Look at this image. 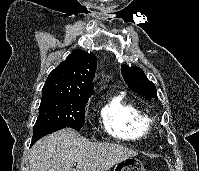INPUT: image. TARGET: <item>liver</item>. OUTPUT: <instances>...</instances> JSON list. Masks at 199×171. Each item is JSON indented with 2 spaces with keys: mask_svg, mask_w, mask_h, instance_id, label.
<instances>
[{
  "mask_svg": "<svg viewBox=\"0 0 199 171\" xmlns=\"http://www.w3.org/2000/svg\"><path fill=\"white\" fill-rule=\"evenodd\" d=\"M136 155L137 152L120 145L89 142L73 129L65 128L34 144L29 154V171H107Z\"/></svg>",
  "mask_w": 199,
  "mask_h": 171,
  "instance_id": "liver-1",
  "label": "liver"
}]
</instances>
